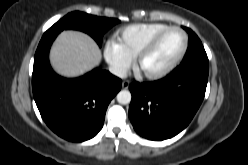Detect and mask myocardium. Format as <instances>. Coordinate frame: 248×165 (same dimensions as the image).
Returning <instances> with one entry per match:
<instances>
[{
    "label": "myocardium",
    "mask_w": 248,
    "mask_h": 165,
    "mask_svg": "<svg viewBox=\"0 0 248 165\" xmlns=\"http://www.w3.org/2000/svg\"><path fill=\"white\" fill-rule=\"evenodd\" d=\"M170 31H179L183 36V44L180 49V51L177 53V55L164 67L152 71V72H142L139 68L141 60L155 47L157 42L160 40L162 36H164L166 33ZM188 48V35L187 33L178 26H167L166 28L160 30L159 32L155 33L143 46L142 48L137 52V54L134 57V68L135 70L143 77L147 79H158L166 74H168L170 71H172L177 64L182 60L184 57L186 51Z\"/></svg>",
    "instance_id": "1"
}]
</instances>
